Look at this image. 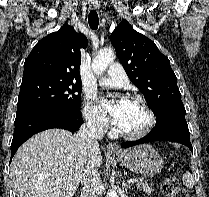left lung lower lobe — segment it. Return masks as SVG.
Returning a JSON list of instances; mask_svg holds the SVG:
<instances>
[{"label":"left lung lower lobe","mask_w":209,"mask_h":197,"mask_svg":"<svg viewBox=\"0 0 209 197\" xmlns=\"http://www.w3.org/2000/svg\"><path fill=\"white\" fill-rule=\"evenodd\" d=\"M185 114V109H175L161 113L156 117V125L147 136L137 141L124 142L121 144L122 148L163 140L181 143L193 152Z\"/></svg>","instance_id":"obj_1"}]
</instances>
